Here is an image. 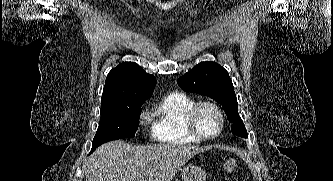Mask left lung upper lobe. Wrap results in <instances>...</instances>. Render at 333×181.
Listing matches in <instances>:
<instances>
[{"label":"left lung upper lobe","mask_w":333,"mask_h":181,"mask_svg":"<svg viewBox=\"0 0 333 181\" xmlns=\"http://www.w3.org/2000/svg\"><path fill=\"white\" fill-rule=\"evenodd\" d=\"M178 85L187 92L208 96L220 103L232 123L237 136L247 138L248 134L238 114L237 98L228 72L215 62H201L181 76Z\"/></svg>","instance_id":"5c2ea615"}]
</instances>
